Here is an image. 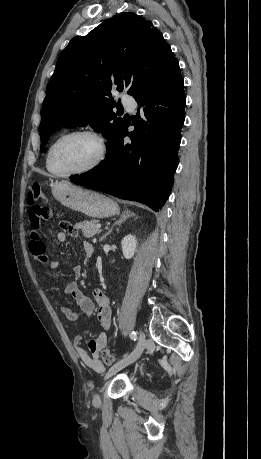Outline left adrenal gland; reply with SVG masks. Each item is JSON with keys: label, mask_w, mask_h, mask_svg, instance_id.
Returning a JSON list of instances; mask_svg holds the SVG:
<instances>
[{"label": "left adrenal gland", "mask_w": 261, "mask_h": 459, "mask_svg": "<svg viewBox=\"0 0 261 459\" xmlns=\"http://www.w3.org/2000/svg\"><path fill=\"white\" fill-rule=\"evenodd\" d=\"M133 216H134V214H132L130 212H125V213L121 214V216L115 221V223L108 230V232L100 239V241L104 240L109 234H111L116 225L121 226L122 223H124L126 220H128L129 218H131Z\"/></svg>", "instance_id": "left-adrenal-gland-1"}]
</instances>
